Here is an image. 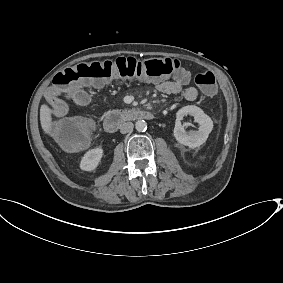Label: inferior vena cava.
<instances>
[{"instance_id":"1","label":"inferior vena cava","mask_w":283,"mask_h":283,"mask_svg":"<svg viewBox=\"0 0 283 283\" xmlns=\"http://www.w3.org/2000/svg\"><path fill=\"white\" fill-rule=\"evenodd\" d=\"M134 124L132 122H125L120 127V132L122 134H126L128 132H131L133 130Z\"/></svg>"}]
</instances>
